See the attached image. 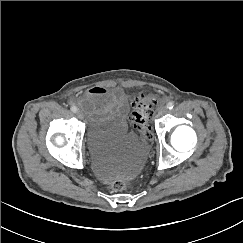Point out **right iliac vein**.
<instances>
[{"mask_svg": "<svg viewBox=\"0 0 243 243\" xmlns=\"http://www.w3.org/2000/svg\"><path fill=\"white\" fill-rule=\"evenodd\" d=\"M77 116H78L79 119H83L84 114L81 111H78Z\"/></svg>", "mask_w": 243, "mask_h": 243, "instance_id": "right-iliac-vein-1", "label": "right iliac vein"}]
</instances>
